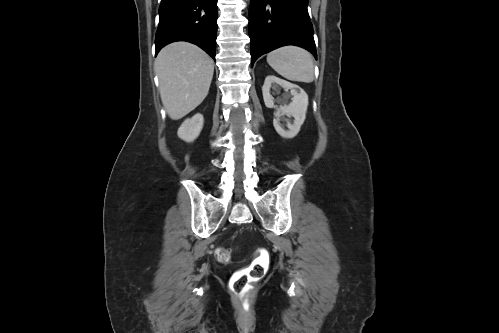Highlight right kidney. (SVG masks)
<instances>
[{
    "label": "right kidney",
    "instance_id": "right-kidney-1",
    "mask_svg": "<svg viewBox=\"0 0 499 333\" xmlns=\"http://www.w3.org/2000/svg\"><path fill=\"white\" fill-rule=\"evenodd\" d=\"M203 122V115L200 113L186 119L178 129V137L186 142H193L203 128Z\"/></svg>",
    "mask_w": 499,
    "mask_h": 333
}]
</instances>
